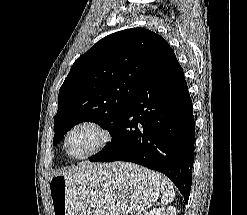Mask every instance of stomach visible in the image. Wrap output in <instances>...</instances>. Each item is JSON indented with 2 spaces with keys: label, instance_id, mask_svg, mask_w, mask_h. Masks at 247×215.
<instances>
[{
  "label": "stomach",
  "instance_id": "0dacf381",
  "mask_svg": "<svg viewBox=\"0 0 247 215\" xmlns=\"http://www.w3.org/2000/svg\"><path fill=\"white\" fill-rule=\"evenodd\" d=\"M159 175L130 163L94 165L49 182L53 215H128L153 203Z\"/></svg>",
  "mask_w": 247,
  "mask_h": 215
}]
</instances>
